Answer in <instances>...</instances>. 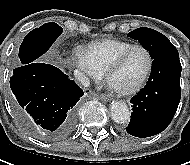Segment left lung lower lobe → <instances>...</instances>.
<instances>
[{
    "mask_svg": "<svg viewBox=\"0 0 190 165\" xmlns=\"http://www.w3.org/2000/svg\"><path fill=\"white\" fill-rule=\"evenodd\" d=\"M181 69L177 49L153 59L147 85L130 100L133 112L126 127L127 133L150 137L168 127L181 97Z\"/></svg>",
    "mask_w": 190,
    "mask_h": 165,
    "instance_id": "obj_1",
    "label": "left lung lower lobe"
}]
</instances>
